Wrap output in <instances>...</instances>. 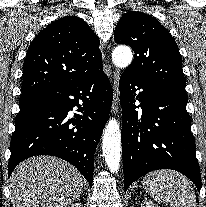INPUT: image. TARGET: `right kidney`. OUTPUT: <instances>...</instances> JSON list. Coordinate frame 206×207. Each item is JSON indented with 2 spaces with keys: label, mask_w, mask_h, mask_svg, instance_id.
Returning a JSON list of instances; mask_svg holds the SVG:
<instances>
[{
  "label": "right kidney",
  "mask_w": 206,
  "mask_h": 207,
  "mask_svg": "<svg viewBox=\"0 0 206 207\" xmlns=\"http://www.w3.org/2000/svg\"><path fill=\"white\" fill-rule=\"evenodd\" d=\"M70 207H82V204L81 203H74V204H71Z\"/></svg>",
  "instance_id": "obj_1"
}]
</instances>
